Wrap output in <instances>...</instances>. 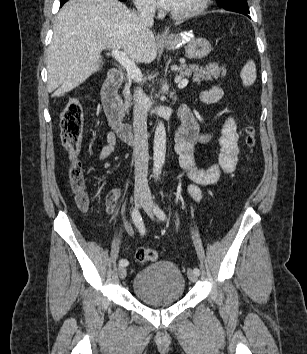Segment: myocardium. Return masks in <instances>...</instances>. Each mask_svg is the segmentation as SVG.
<instances>
[{
    "instance_id": "myocardium-1",
    "label": "myocardium",
    "mask_w": 307,
    "mask_h": 354,
    "mask_svg": "<svg viewBox=\"0 0 307 354\" xmlns=\"http://www.w3.org/2000/svg\"><path fill=\"white\" fill-rule=\"evenodd\" d=\"M209 2L210 0H197L196 4L189 10L182 13L171 12L170 15L174 19L185 20L203 12L207 8Z\"/></svg>"
}]
</instances>
